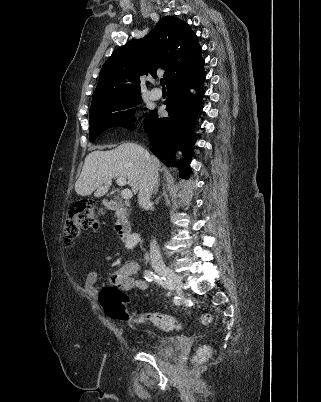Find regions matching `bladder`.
<instances>
[{
    "instance_id": "bladder-1",
    "label": "bladder",
    "mask_w": 321,
    "mask_h": 402,
    "mask_svg": "<svg viewBox=\"0 0 321 402\" xmlns=\"http://www.w3.org/2000/svg\"><path fill=\"white\" fill-rule=\"evenodd\" d=\"M176 346L169 339H163L161 345L157 348L156 353L162 357H170L175 354Z\"/></svg>"
}]
</instances>
